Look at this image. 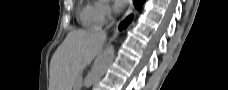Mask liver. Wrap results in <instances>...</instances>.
<instances>
[{"label": "liver", "instance_id": "1", "mask_svg": "<svg viewBox=\"0 0 228 90\" xmlns=\"http://www.w3.org/2000/svg\"><path fill=\"white\" fill-rule=\"evenodd\" d=\"M106 36L84 30L71 31L50 62V90H73L80 72L101 52Z\"/></svg>", "mask_w": 228, "mask_h": 90}]
</instances>
